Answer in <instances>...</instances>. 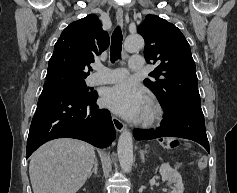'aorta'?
Listing matches in <instances>:
<instances>
[{
    "label": "aorta",
    "instance_id": "1",
    "mask_svg": "<svg viewBox=\"0 0 237 193\" xmlns=\"http://www.w3.org/2000/svg\"><path fill=\"white\" fill-rule=\"evenodd\" d=\"M143 46L144 39L139 34H131L125 39L124 48L129 53L137 52ZM117 152L123 172H130L133 164V139L132 134L128 130H124L119 136Z\"/></svg>",
    "mask_w": 237,
    "mask_h": 193
}]
</instances>
